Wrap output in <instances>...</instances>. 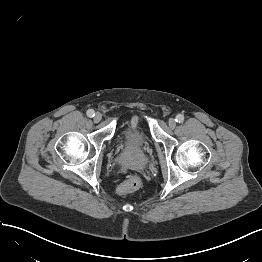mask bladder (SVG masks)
<instances>
[{"label":"bladder","instance_id":"obj_1","mask_svg":"<svg viewBox=\"0 0 262 262\" xmlns=\"http://www.w3.org/2000/svg\"><path fill=\"white\" fill-rule=\"evenodd\" d=\"M125 143L130 149H141L147 143L148 137L144 128H135L125 135Z\"/></svg>","mask_w":262,"mask_h":262}]
</instances>
